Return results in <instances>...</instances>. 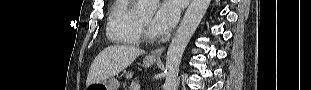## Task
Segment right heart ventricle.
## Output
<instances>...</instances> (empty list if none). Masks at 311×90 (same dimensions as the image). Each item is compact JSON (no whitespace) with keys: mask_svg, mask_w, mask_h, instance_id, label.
<instances>
[{"mask_svg":"<svg viewBox=\"0 0 311 90\" xmlns=\"http://www.w3.org/2000/svg\"><path fill=\"white\" fill-rule=\"evenodd\" d=\"M107 37L119 44L136 45L141 38L139 17L134 11L132 0H117L110 9Z\"/></svg>","mask_w":311,"mask_h":90,"instance_id":"e07e8e85","label":"right heart ventricle"}]
</instances>
